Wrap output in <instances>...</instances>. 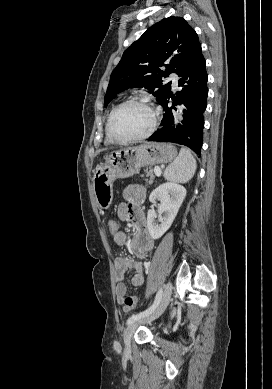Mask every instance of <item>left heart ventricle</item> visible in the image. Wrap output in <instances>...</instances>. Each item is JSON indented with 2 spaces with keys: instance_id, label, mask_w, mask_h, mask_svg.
I'll return each instance as SVG.
<instances>
[{
  "instance_id": "1",
  "label": "left heart ventricle",
  "mask_w": 272,
  "mask_h": 389,
  "mask_svg": "<svg viewBox=\"0 0 272 389\" xmlns=\"http://www.w3.org/2000/svg\"><path fill=\"white\" fill-rule=\"evenodd\" d=\"M152 121L150 111L144 106L130 104L120 109L113 119V130L122 138H130L143 134Z\"/></svg>"
}]
</instances>
